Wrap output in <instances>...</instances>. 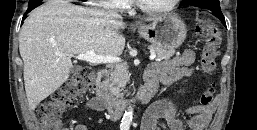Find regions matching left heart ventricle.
Returning a JSON list of instances; mask_svg holds the SVG:
<instances>
[{"instance_id":"left-heart-ventricle-1","label":"left heart ventricle","mask_w":257,"mask_h":130,"mask_svg":"<svg viewBox=\"0 0 257 130\" xmlns=\"http://www.w3.org/2000/svg\"><path fill=\"white\" fill-rule=\"evenodd\" d=\"M147 7H161L168 4L171 0H140Z\"/></svg>"}]
</instances>
